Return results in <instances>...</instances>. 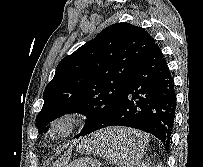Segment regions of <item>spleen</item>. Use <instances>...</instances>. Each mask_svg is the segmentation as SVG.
<instances>
[{"instance_id": "spleen-1", "label": "spleen", "mask_w": 203, "mask_h": 167, "mask_svg": "<svg viewBox=\"0 0 203 167\" xmlns=\"http://www.w3.org/2000/svg\"><path fill=\"white\" fill-rule=\"evenodd\" d=\"M103 142L102 138L92 137V139L88 141V152L99 154L104 159L114 162L119 167H138V165H141V167H149V160L145 163L141 161L145 153V148L147 147V137L143 138L141 144L135 149H129L127 145L121 148L111 149L103 147L101 145ZM137 149L140 151V156L137 154Z\"/></svg>"}]
</instances>
